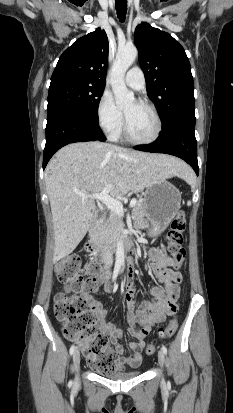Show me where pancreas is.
<instances>
[{"mask_svg":"<svg viewBox=\"0 0 233 413\" xmlns=\"http://www.w3.org/2000/svg\"><path fill=\"white\" fill-rule=\"evenodd\" d=\"M145 216L143 202H137L132 210L134 220L141 219ZM123 225L122 218L114 212L100 221L92 230L91 241L98 246L115 241L118 238L119 231Z\"/></svg>","mask_w":233,"mask_h":413,"instance_id":"obj_1","label":"pancreas"}]
</instances>
